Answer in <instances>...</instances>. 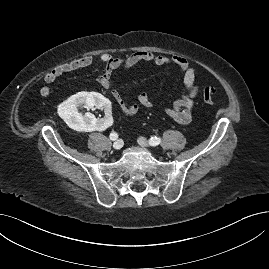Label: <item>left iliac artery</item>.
<instances>
[{
  "instance_id": "left-iliac-artery-1",
  "label": "left iliac artery",
  "mask_w": 269,
  "mask_h": 269,
  "mask_svg": "<svg viewBox=\"0 0 269 269\" xmlns=\"http://www.w3.org/2000/svg\"><path fill=\"white\" fill-rule=\"evenodd\" d=\"M161 142V138H159V137H151L150 138V140H149V144L151 145V146H156V145H158L159 143Z\"/></svg>"
}]
</instances>
